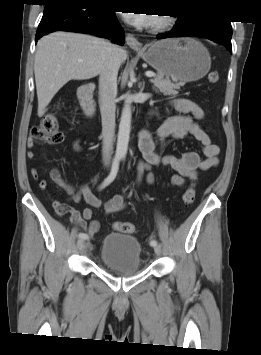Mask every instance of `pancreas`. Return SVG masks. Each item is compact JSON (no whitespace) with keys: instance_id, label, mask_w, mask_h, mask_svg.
<instances>
[{"instance_id":"obj_1","label":"pancreas","mask_w":261,"mask_h":355,"mask_svg":"<svg viewBox=\"0 0 261 355\" xmlns=\"http://www.w3.org/2000/svg\"><path fill=\"white\" fill-rule=\"evenodd\" d=\"M156 92L163 93L165 96H176L179 92L181 84L172 83L169 79H164L161 75H154L150 80Z\"/></svg>"}]
</instances>
